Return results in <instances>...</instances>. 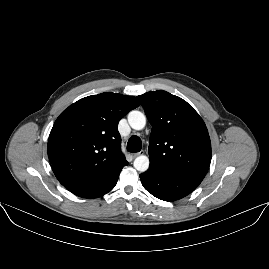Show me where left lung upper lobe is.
<instances>
[{
  "label": "left lung upper lobe",
  "instance_id": "obj_1",
  "mask_svg": "<svg viewBox=\"0 0 269 269\" xmlns=\"http://www.w3.org/2000/svg\"><path fill=\"white\" fill-rule=\"evenodd\" d=\"M152 124L149 169L202 181L211 142L202 118L186 101L163 90L137 96Z\"/></svg>",
  "mask_w": 269,
  "mask_h": 269
}]
</instances>
